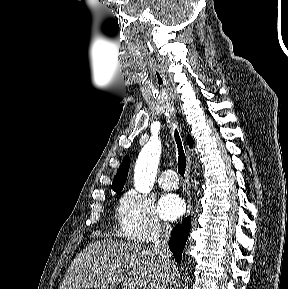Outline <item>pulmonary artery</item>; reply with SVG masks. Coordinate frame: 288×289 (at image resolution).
Wrapping results in <instances>:
<instances>
[{"instance_id":"1","label":"pulmonary artery","mask_w":288,"mask_h":289,"mask_svg":"<svg viewBox=\"0 0 288 289\" xmlns=\"http://www.w3.org/2000/svg\"><path fill=\"white\" fill-rule=\"evenodd\" d=\"M159 185L166 190L175 189L178 185V177L173 170H165L159 178Z\"/></svg>"}]
</instances>
